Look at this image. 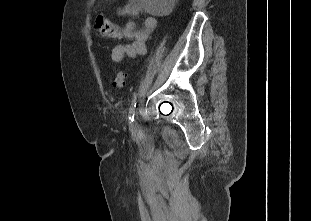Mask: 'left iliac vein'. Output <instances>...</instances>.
<instances>
[{
  "mask_svg": "<svg viewBox=\"0 0 311 221\" xmlns=\"http://www.w3.org/2000/svg\"><path fill=\"white\" fill-rule=\"evenodd\" d=\"M137 127H138V123H137V121H134V122H133V123H131V125H130L131 130H136V129H137Z\"/></svg>",
  "mask_w": 311,
  "mask_h": 221,
  "instance_id": "obj_1",
  "label": "left iliac vein"
}]
</instances>
